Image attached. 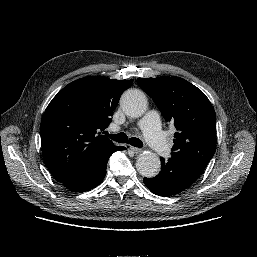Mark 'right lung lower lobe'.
Wrapping results in <instances>:
<instances>
[{
  "instance_id": "98d812e1",
  "label": "right lung lower lobe",
  "mask_w": 257,
  "mask_h": 257,
  "mask_svg": "<svg viewBox=\"0 0 257 257\" xmlns=\"http://www.w3.org/2000/svg\"><path fill=\"white\" fill-rule=\"evenodd\" d=\"M125 147L116 146L95 162L80 170L70 178L61 183L70 190L76 192L88 191L103 181L106 175L107 162L112 153L118 150H125Z\"/></svg>"
}]
</instances>
